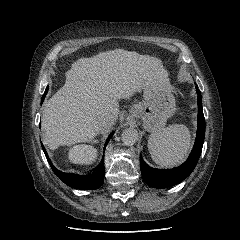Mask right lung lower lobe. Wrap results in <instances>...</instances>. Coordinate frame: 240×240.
<instances>
[{
  "label": "right lung lower lobe",
  "instance_id": "right-lung-lower-lobe-1",
  "mask_svg": "<svg viewBox=\"0 0 240 240\" xmlns=\"http://www.w3.org/2000/svg\"><path fill=\"white\" fill-rule=\"evenodd\" d=\"M44 98L45 96L42 97V102ZM111 135L108 137V140ZM42 148L53 172L68 186L81 190H94L101 187V185L103 184L105 173L103 162H101L100 165L96 168L97 171L90 175L64 173L54 167L43 145Z\"/></svg>",
  "mask_w": 240,
  "mask_h": 240
}]
</instances>
